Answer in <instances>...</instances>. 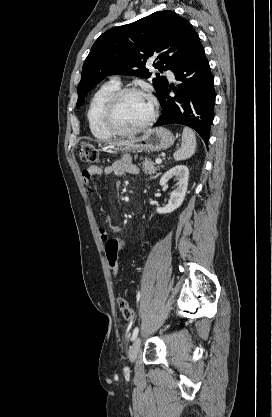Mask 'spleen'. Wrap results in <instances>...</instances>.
<instances>
[{
  "mask_svg": "<svg viewBox=\"0 0 272 417\" xmlns=\"http://www.w3.org/2000/svg\"><path fill=\"white\" fill-rule=\"evenodd\" d=\"M196 146L195 133L190 128L185 127L182 133L181 147L173 154L175 161L190 158L195 153Z\"/></svg>",
  "mask_w": 272,
  "mask_h": 417,
  "instance_id": "1",
  "label": "spleen"
}]
</instances>
